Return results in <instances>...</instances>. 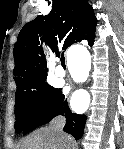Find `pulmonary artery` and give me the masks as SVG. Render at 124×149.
Returning a JSON list of instances; mask_svg holds the SVG:
<instances>
[{"instance_id": "1", "label": "pulmonary artery", "mask_w": 124, "mask_h": 149, "mask_svg": "<svg viewBox=\"0 0 124 149\" xmlns=\"http://www.w3.org/2000/svg\"><path fill=\"white\" fill-rule=\"evenodd\" d=\"M56 74L58 76H65V72L63 70H61L60 68L57 69Z\"/></svg>"}]
</instances>
